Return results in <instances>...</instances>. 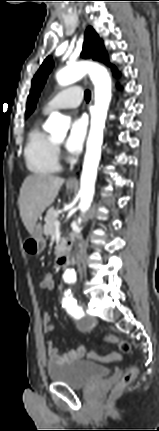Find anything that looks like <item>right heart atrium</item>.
Listing matches in <instances>:
<instances>
[{
  "label": "right heart atrium",
  "instance_id": "right-heart-atrium-1",
  "mask_svg": "<svg viewBox=\"0 0 159 431\" xmlns=\"http://www.w3.org/2000/svg\"><path fill=\"white\" fill-rule=\"evenodd\" d=\"M59 152V149L57 148V153Z\"/></svg>",
  "mask_w": 159,
  "mask_h": 431
}]
</instances>
